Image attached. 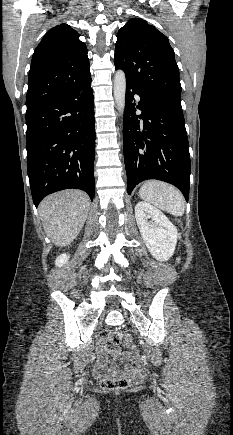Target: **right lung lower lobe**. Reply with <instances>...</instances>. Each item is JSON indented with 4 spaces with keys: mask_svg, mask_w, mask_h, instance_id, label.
Here are the masks:
<instances>
[{
    "mask_svg": "<svg viewBox=\"0 0 233 435\" xmlns=\"http://www.w3.org/2000/svg\"><path fill=\"white\" fill-rule=\"evenodd\" d=\"M91 74L26 111L27 169L37 207L47 195L76 188L95 195V119Z\"/></svg>",
    "mask_w": 233,
    "mask_h": 435,
    "instance_id": "obj_1",
    "label": "right lung lower lobe"
}]
</instances>
